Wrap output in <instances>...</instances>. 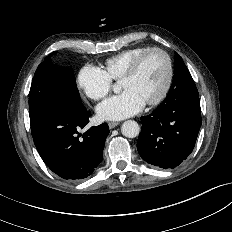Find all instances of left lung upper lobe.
<instances>
[{
	"mask_svg": "<svg viewBox=\"0 0 232 232\" xmlns=\"http://www.w3.org/2000/svg\"><path fill=\"white\" fill-rule=\"evenodd\" d=\"M198 96V90L182 58L175 53V71L168 96Z\"/></svg>",
	"mask_w": 232,
	"mask_h": 232,
	"instance_id": "5c2ea615",
	"label": "left lung upper lobe"
}]
</instances>
